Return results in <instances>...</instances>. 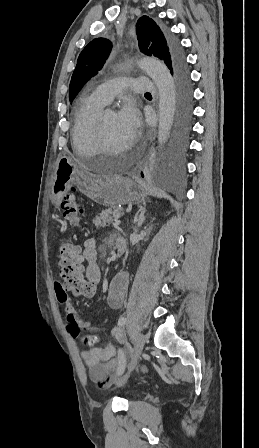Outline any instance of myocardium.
Here are the masks:
<instances>
[{"mask_svg":"<svg viewBox=\"0 0 259 448\" xmlns=\"http://www.w3.org/2000/svg\"><path fill=\"white\" fill-rule=\"evenodd\" d=\"M108 112H114L112 109H102L96 117V128H95V141L101 154L115 153L116 150L109 144L106 137L105 129V118ZM75 156H78V163H86L85 160L75 152ZM98 171H106L98 169Z\"/></svg>","mask_w":259,"mask_h":448,"instance_id":"myocardium-1","label":"myocardium"}]
</instances>
